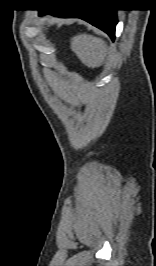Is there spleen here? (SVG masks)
Returning <instances> with one entry per match:
<instances>
[{"label": "spleen", "instance_id": "1", "mask_svg": "<svg viewBox=\"0 0 156 266\" xmlns=\"http://www.w3.org/2000/svg\"><path fill=\"white\" fill-rule=\"evenodd\" d=\"M70 47L79 60L89 68L100 67L108 52L105 41L85 33L73 37Z\"/></svg>", "mask_w": 156, "mask_h": 266}]
</instances>
